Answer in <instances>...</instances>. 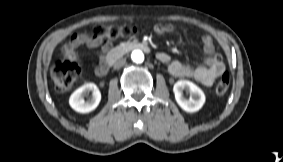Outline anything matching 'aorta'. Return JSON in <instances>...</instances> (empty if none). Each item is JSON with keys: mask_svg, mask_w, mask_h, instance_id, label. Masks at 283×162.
<instances>
[{"mask_svg": "<svg viewBox=\"0 0 283 162\" xmlns=\"http://www.w3.org/2000/svg\"><path fill=\"white\" fill-rule=\"evenodd\" d=\"M131 59L135 63H142L144 61V54L141 50H133L131 53Z\"/></svg>", "mask_w": 283, "mask_h": 162, "instance_id": "1", "label": "aorta"}]
</instances>
